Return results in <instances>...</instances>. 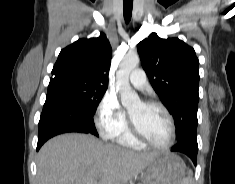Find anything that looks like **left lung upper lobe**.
<instances>
[{
    "label": "left lung upper lobe",
    "mask_w": 235,
    "mask_h": 184,
    "mask_svg": "<svg viewBox=\"0 0 235 184\" xmlns=\"http://www.w3.org/2000/svg\"><path fill=\"white\" fill-rule=\"evenodd\" d=\"M141 64L162 103L173 115L177 144L197 145L199 60L178 38L156 33L138 44Z\"/></svg>",
    "instance_id": "obj_1"
}]
</instances>
